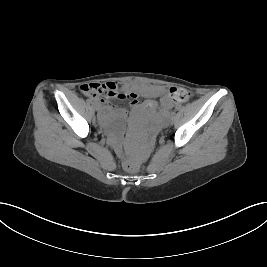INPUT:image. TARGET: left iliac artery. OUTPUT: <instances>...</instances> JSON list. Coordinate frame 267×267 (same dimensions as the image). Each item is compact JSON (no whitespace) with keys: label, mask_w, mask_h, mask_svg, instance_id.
Returning <instances> with one entry per match:
<instances>
[{"label":"left iliac artery","mask_w":267,"mask_h":267,"mask_svg":"<svg viewBox=\"0 0 267 267\" xmlns=\"http://www.w3.org/2000/svg\"><path fill=\"white\" fill-rule=\"evenodd\" d=\"M174 116H175V112L172 111V112L170 113V118H173Z\"/></svg>","instance_id":"1"}]
</instances>
